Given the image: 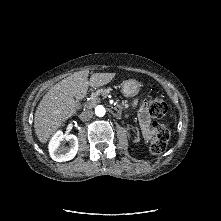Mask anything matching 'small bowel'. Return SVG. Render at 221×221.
I'll return each instance as SVG.
<instances>
[{
  "instance_id": "c3829d8e",
  "label": "small bowel",
  "mask_w": 221,
  "mask_h": 221,
  "mask_svg": "<svg viewBox=\"0 0 221 221\" xmlns=\"http://www.w3.org/2000/svg\"><path fill=\"white\" fill-rule=\"evenodd\" d=\"M138 119L141 135L144 141H150L155 132L152 127L151 117L145 105H140L138 108Z\"/></svg>"
}]
</instances>
